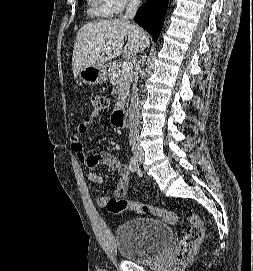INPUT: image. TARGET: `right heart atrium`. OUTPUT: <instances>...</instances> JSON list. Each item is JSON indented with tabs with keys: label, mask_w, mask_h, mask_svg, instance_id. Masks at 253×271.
<instances>
[{
	"label": "right heart atrium",
	"mask_w": 253,
	"mask_h": 271,
	"mask_svg": "<svg viewBox=\"0 0 253 271\" xmlns=\"http://www.w3.org/2000/svg\"><path fill=\"white\" fill-rule=\"evenodd\" d=\"M115 13L123 11L125 8L137 4L139 0H106Z\"/></svg>",
	"instance_id": "d8ad5b80"
}]
</instances>
